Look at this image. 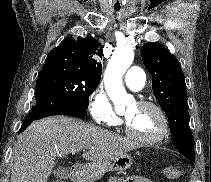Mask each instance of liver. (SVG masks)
Masks as SVG:
<instances>
[{
	"label": "liver",
	"instance_id": "obj_1",
	"mask_svg": "<svg viewBox=\"0 0 211 182\" xmlns=\"http://www.w3.org/2000/svg\"><path fill=\"white\" fill-rule=\"evenodd\" d=\"M92 148L82 157L103 161L133 150L128 138L87 124L79 119L57 115L33 122L18 138L11 162V182H47L55 158Z\"/></svg>",
	"mask_w": 211,
	"mask_h": 182
}]
</instances>
